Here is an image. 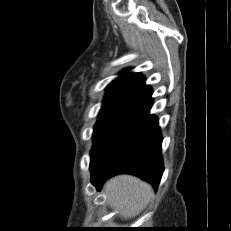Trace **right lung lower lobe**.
Returning a JSON list of instances; mask_svg holds the SVG:
<instances>
[{
	"label": "right lung lower lobe",
	"mask_w": 231,
	"mask_h": 231,
	"mask_svg": "<svg viewBox=\"0 0 231 231\" xmlns=\"http://www.w3.org/2000/svg\"><path fill=\"white\" fill-rule=\"evenodd\" d=\"M161 143L158 119L147 110L91 158V182L100 190L107 178L127 173L156 189L163 173Z\"/></svg>",
	"instance_id": "98d812e1"
}]
</instances>
